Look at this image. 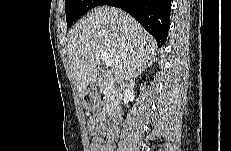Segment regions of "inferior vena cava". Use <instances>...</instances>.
I'll list each match as a JSON object with an SVG mask.
<instances>
[{"label":"inferior vena cava","mask_w":231,"mask_h":151,"mask_svg":"<svg viewBox=\"0 0 231 151\" xmlns=\"http://www.w3.org/2000/svg\"><path fill=\"white\" fill-rule=\"evenodd\" d=\"M122 93H119V95H118V100H119V102L121 101V99H122ZM120 109H121V107H120Z\"/></svg>","instance_id":"inferior-vena-cava-1"}]
</instances>
